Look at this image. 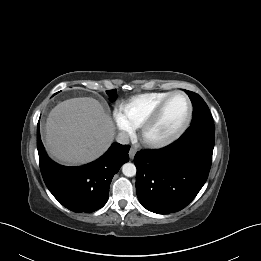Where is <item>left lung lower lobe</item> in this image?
Segmentation results:
<instances>
[{
  "mask_svg": "<svg viewBox=\"0 0 261 261\" xmlns=\"http://www.w3.org/2000/svg\"><path fill=\"white\" fill-rule=\"evenodd\" d=\"M214 137L215 127L190 126L167 147L137 152L136 192L142 206L158 214L185 208L207 180Z\"/></svg>",
  "mask_w": 261,
  "mask_h": 261,
  "instance_id": "1",
  "label": "left lung lower lobe"
}]
</instances>
